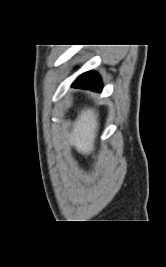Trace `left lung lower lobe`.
<instances>
[{"mask_svg":"<svg viewBox=\"0 0 166 267\" xmlns=\"http://www.w3.org/2000/svg\"><path fill=\"white\" fill-rule=\"evenodd\" d=\"M72 87L91 89L96 92H101L102 82L95 72L89 71L79 76L72 84Z\"/></svg>","mask_w":166,"mask_h":267,"instance_id":"obj_1","label":"left lung lower lobe"}]
</instances>
